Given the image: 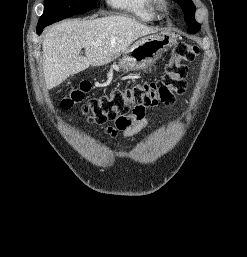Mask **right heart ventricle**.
Segmentation results:
<instances>
[{"instance_id":"1","label":"right heart ventricle","mask_w":247,"mask_h":257,"mask_svg":"<svg viewBox=\"0 0 247 257\" xmlns=\"http://www.w3.org/2000/svg\"><path fill=\"white\" fill-rule=\"evenodd\" d=\"M113 9L126 13L142 22H152L157 14L153 9V0H106Z\"/></svg>"}]
</instances>
